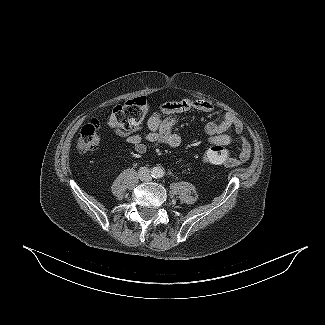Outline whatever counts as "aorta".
<instances>
[{
	"label": "aorta",
	"mask_w": 325,
	"mask_h": 325,
	"mask_svg": "<svg viewBox=\"0 0 325 325\" xmlns=\"http://www.w3.org/2000/svg\"><path fill=\"white\" fill-rule=\"evenodd\" d=\"M164 175V170L161 167L155 168V176L160 178Z\"/></svg>",
	"instance_id": "1"
}]
</instances>
